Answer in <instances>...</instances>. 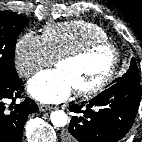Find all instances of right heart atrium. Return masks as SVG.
Instances as JSON below:
<instances>
[{"instance_id":"1","label":"right heart atrium","mask_w":142,"mask_h":142,"mask_svg":"<svg viewBox=\"0 0 142 142\" xmlns=\"http://www.w3.org/2000/svg\"><path fill=\"white\" fill-rule=\"evenodd\" d=\"M14 61L17 72L23 77H29L42 67L54 63L42 36L29 31L16 42Z\"/></svg>"}]
</instances>
